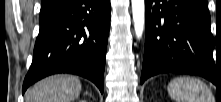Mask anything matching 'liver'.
Returning <instances> with one entry per match:
<instances>
[{"mask_svg":"<svg viewBox=\"0 0 221 102\" xmlns=\"http://www.w3.org/2000/svg\"><path fill=\"white\" fill-rule=\"evenodd\" d=\"M80 80L71 75H54L36 83L25 96L26 102H73L81 93Z\"/></svg>","mask_w":221,"mask_h":102,"instance_id":"1","label":"liver"}]
</instances>
